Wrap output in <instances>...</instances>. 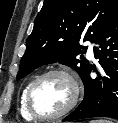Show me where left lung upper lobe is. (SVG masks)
Here are the masks:
<instances>
[{"mask_svg": "<svg viewBox=\"0 0 118 123\" xmlns=\"http://www.w3.org/2000/svg\"><path fill=\"white\" fill-rule=\"evenodd\" d=\"M116 18L118 0H46L26 41L17 79L55 62L72 67L83 78L89 62L83 58L87 47L80 39L95 42Z\"/></svg>", "mask_w": 118, "mask_h": 123, "instance_id": "obj_1", "label": "left lung upper lobe"}]
</instances>
